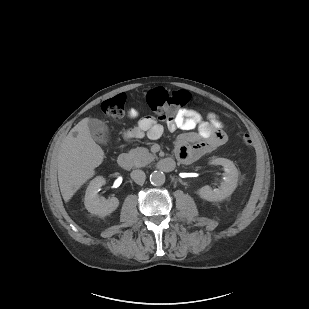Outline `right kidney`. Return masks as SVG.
Returning <instances> with one entry per match:
<instances>
[{"instance_id": "ca27d5eb", "label": "right kidney", "mask_w": 309, "mask_h": 309, "mask_svg": "<svg viewBox=\"0 0 309 309\" xmlns=\"http://www.w3.org/2000/svg\"><path fill=\"white\" fill-rule=\"evenodd\" d=\"M106 183L105 178L97 176L90 181L85 198V208L92 214L99 215L101 217L111 214L119 206V200L116 197L105 199L104 197L98 196L99 188Z\"/></svg>"}]
</instances>
